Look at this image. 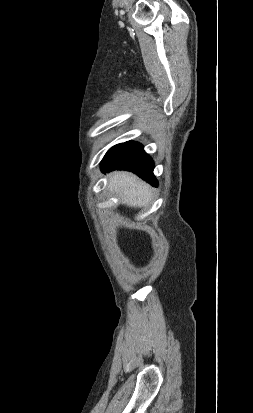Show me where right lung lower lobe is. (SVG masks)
I'll return each instance as SVG.
<instances>
[{
	"mask_svg": "<svg viewBox=\"0 0 253 413\" xmlns=\"http://www.w3.org/2000/svg\"><path fill=\"white\" fill-rule=\"evenodd\" d=\"M115 169L132 171L153 186L158 184L153 175V160L143 150V145L137 142L122 143L104 157L101 170L107 172Z\"/></svg>",
	"mask_w": 253,
	"mask_h": 413,
	"instance_id": "obj_1",
	"label": "right lung lower lobe"
}]
</instances>
